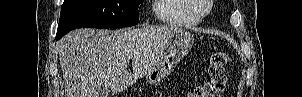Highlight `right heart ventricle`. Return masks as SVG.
Instances as JSON below:
<instances>
[{"mask_svg": "<svg viewBox=\"0 0 302 97\" xmlns=\"http://www.w3.org/2000/svg\"><path fill=\"white\" fill-rule=\"evenodd\" d=\"M153 11L157 19L166 25L187 27L199 22L187 12L183 0H157Z\"/></svg>", "mask_w": 302, "mask_h": 97, "instance_id": "e07e8e85", "label": "right heart ventricle"}]
</instances>
